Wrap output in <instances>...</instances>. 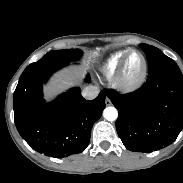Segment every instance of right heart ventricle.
Here are the masks:
<instances>
[{
	"instance_id": "obj_1",
	"label": "right heart ventricle",
	"mask_w": 183,
	"mask_h": 183,
	"mask_svg": "<svg viewBox=\"0 0 183 183\" xmlns=\"http://www.w3.org/2000/svg\"><path fill=\"white\" fill-rule=\"evenodd\" d=\"M128 50H121L111 54L104 63L103 70L106 75L111 76L115 73L123 57Z\"/></svg>"
}]
</instances>
